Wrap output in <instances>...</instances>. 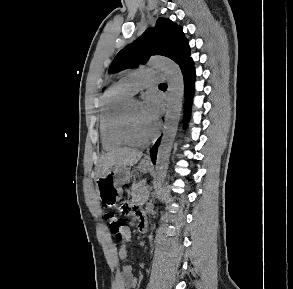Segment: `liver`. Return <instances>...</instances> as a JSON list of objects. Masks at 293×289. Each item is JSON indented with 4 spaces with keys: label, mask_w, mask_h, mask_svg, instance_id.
<instances>
[{
    "label": "liver",
    "mask_w": 293,
    "mask_h": 289,
    "mask_svg": "<svg viewBox=\"0 0 293 289\" xmlns=\"http://www.w3.org/2000/svg\"><path fill=\"white\" fill-rule=\"evenodd\" d=\"M143 153L130 148L112 150L102 156L100 161V175H106L113 167H127L137 164Z\"/></svg>",
    "instance_id": "liver-1"
}]
</instances>
